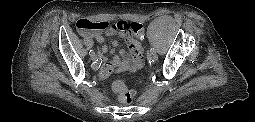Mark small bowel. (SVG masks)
Segmentation results:
<instances>
[{
	"instance_id": "small-bowel-1",
	"label": "small bowel",
	"mask_w": 255,
	"mask_h": 122,
	"mask_svg": "<svg viewBox=\"0 0 255 122\" xmlns=\"http://www.w3.org/2000/svg\"><path fill=\"white\" fill-rule=\"evenodd\" d=\"M107 36H112L117 34L118 38L123 39L126 37L125 31H117L114 29H109L105 32ZM88 39H94L98 43L104 42V35L101 32H93L87 35H84ZM143 39V36L139 39L127 36V46L130 52V55L125 51L121 50L119 55H116L111 61H105L103 64V69H107L110 72L113 70H128V71H137L143 65V46L140 40ZM118 41L115 40L112 42L111 52H115V49L118 46ZM107 51V47H103V52Z\"/></svg>"
}]
</instances>
